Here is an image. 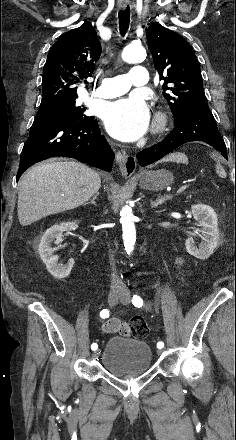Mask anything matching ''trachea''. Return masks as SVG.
I'll return each instance as SVG.
<instances>
[{"instance_id": "3493384b", "label": "trachea", "mask_w": 236, "mask_h": 440, "mask_svg": "<svg viewBox=\"0 0 236 440\" xmlns=\"http://www.w3.org/2000/svg\"><path fill=\"white\" fill-rule=\"evenodd\" d=\"M118 17H119L120 33L124 36L129 28V22H130L129 6H127L125 10L119 11Z\"/></svg>"}]
</instances>
